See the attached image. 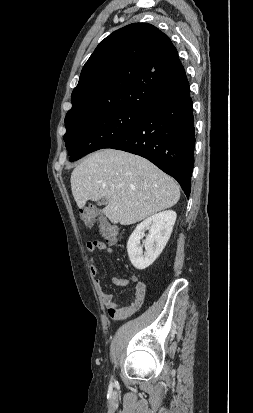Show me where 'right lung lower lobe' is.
Here are the masks:
<instances>
[{"instance_id":"obj_1","label":"right lung lower lobe","mask_w":253,"mask_h":413,"mask_svg":"<svg viewBox=\"0 0 253 413\" xmlns=\"http://www.w3.org/2000/svg\"><path fill=\"white\" fill-rule=\"evenodd\" d=\"M106 148L142 156L174 177L189 196L195 128L190 88L144 111L139 124Z\"/></svg>"}]
</instances>
